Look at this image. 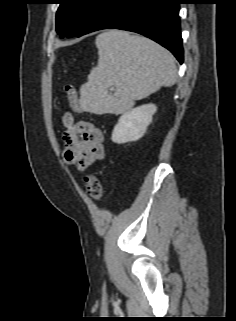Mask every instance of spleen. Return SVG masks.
<instances>
[{
    "mask_svg": "<svg viewBox=\"0 0 236 321\" xmlns=\"http://www.w3.org/2000/svg\"><path fill=\"white\" fill-rule=\"evenodd\" d=\"M98 65L80 88V107L95 114H120L135 100L170 87L177 79L174 56L157 43L124 31L112 30L96 37ZM115 94L109 95V88Z\"/></svg>",
    "mask_w": 236,
    "mask_h": 321,
    "instance_id": "spleen-1",
    "label": "spleen"
}]
</instances>
